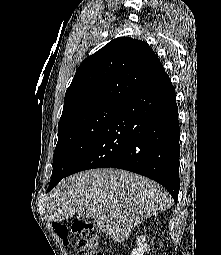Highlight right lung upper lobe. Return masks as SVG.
<instances>
[{
  "instance_id": "obj_1",
  "label": "right lung upper lobe",
  "mask_w": 221,
  "mask_h": 255,
  "mask_svg": "<svg viewBox=\"0 0 221 255\" xmlns=\"http://www.w3.org/2000/svg\"><path fill=\"white\" fill-rule=\"evenodd\" d=\"M164 72L145 42L118 37L80 64L66 91L60 120L92 106L121 104Z\"/></svg>"
}]
</instances>
